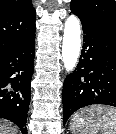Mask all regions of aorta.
I'll return each mask as SVG.
<instances>
[{"label":"aorta","mask_w":116,"mask_h":134,"mask_svg":"<svg viewBox=\"0 0 116 134\" xmlns=\"http://www.w3.org/2000/svg\"><path fill=\"white\" fill-rule=\"evenodd\" d=\"M80 36V21L71 15L65 22L62 44V60L68 73L72 72L77 64L81 48Z\"/></svg>","instance_id":"1"}]
</instances>
